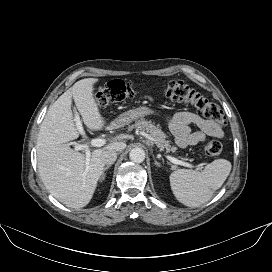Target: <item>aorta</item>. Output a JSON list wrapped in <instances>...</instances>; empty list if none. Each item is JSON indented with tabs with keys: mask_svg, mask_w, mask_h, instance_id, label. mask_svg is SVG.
<instances>
[{
	"mask_svg": "<svg viewBox=\"0 0 272 272\" xmlns=\"http://www.w3.org/2000/svg\"><path fill=\"white\" fill-rule=\"evenodd\" d=\"M130 160L135 163H141L145 160V152L142 148H133L129 153Z\"/></svg>",
	"mask_w": 272,
	"mask_h": 272,
	"instance_id": "aorta-1",
	"label": "aorta"
}]
</instances>
